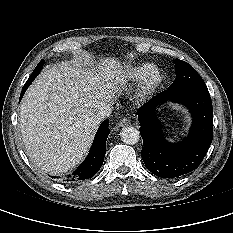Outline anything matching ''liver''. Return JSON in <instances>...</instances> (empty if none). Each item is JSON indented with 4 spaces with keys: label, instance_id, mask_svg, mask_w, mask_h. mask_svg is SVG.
Masks as SVG:
<instances>
[{
    "label": "liver",
    "instance_id": "1",
    "mask_svg": "<svg viewBox=\"0 0 233 233\" xmlns=\"http://www.w3.org/2000/svg\"><path fill=\"white\" fill-rule=\"evenodd\" d=\"M101 65L99 74L89 60L49 66L27 89L20 128L26 154L40 170L65 173L88 152L100 123L95 115L125 82L120 62L102 59Z\"/></svg>",
    "mask_w": 233,
    "mask_h": 233
}]
</instances>
